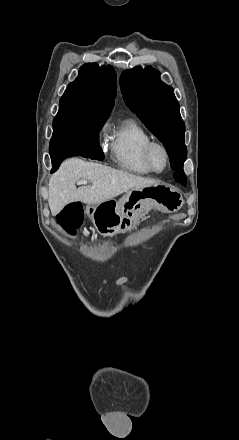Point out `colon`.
Listing matches in <instances>:
<instances>
[{
    "instance_id": "colon-1",
    "label": "colon",
    "mask_w": 239,
    "mask_h": 440,
    "mask_svg": "<svg viewBox=\"0 0 239 440\" xmlns=\"http://www.w3.org/2000/svg\"><path fill=\"white\" fill-rule=\"evenodd\" d=\"M82 217L83 210L81 204L72 203L62 209L56 221L69 234H74L82 224Z\"/></svg>"
}]
</instances>
